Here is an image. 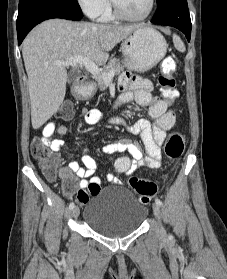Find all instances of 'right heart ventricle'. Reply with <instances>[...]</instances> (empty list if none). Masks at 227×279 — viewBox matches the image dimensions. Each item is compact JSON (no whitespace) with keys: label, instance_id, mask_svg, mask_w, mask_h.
Returning <instances> with one entry per match:
<instances>
[{"label":"right heart ventricle","instance_id":"obj_1","mask_svg":"<svg viewBox=\"0 0 227 279\" xmlns=\"http://www.w3.org/2000/svg\"><path fill=\"white\" fill-rule=\"evenodd\" d=\"M101 20L111 21L115 19V15L111 11L110 6L100 15Z\"/></svg>","mask_w":227,"mask_h":279}]
</instances>
